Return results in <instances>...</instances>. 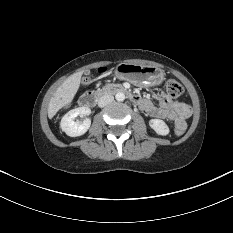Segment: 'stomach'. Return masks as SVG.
Here are the masks:
<instances>
[{"instance_id":"1","label":"stomach","mask_w":233,"mask_h":233,"mask_svg":"<svg viewBox=\"0 0 233 233\" xmlns=\"http://www.w3.org/2000/svg\"><path fill=\"white\" fill-rule=\"evenodd\" d=\"M115 72L117 76L136 85H160L164 80V72L154 66L121 63Z\"/></svg>"}]
</instances>
